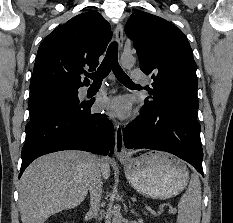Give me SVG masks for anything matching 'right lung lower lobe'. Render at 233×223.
Here are the masks:
<instances>
[{
	"instance_id": "right-lung-lower-lobe-1",
	"label": "right lung lower lobe",
	"mask_w": 233,
	"mask_h": 223,
	"mask_svg": "<svg viewBox=\"0 0 233 223\" xmlns=\"http://www.w3.org/2000/svg\"><path fill=\"white\" fill-rule=\"evenodd\" d=\"M92 101L66 100V108L31 118L26 126L19 178L37 157L60 150H84L111 156L114 128L108 118L91 113Z\"/></svg>"
}]
</instances>
